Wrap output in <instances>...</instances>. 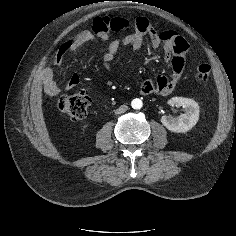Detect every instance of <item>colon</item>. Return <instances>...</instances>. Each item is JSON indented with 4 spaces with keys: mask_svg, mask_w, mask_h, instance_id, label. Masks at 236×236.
Returning <instances> with one entry per match:
<instances>
[{
    "mask_svg": "<svg viewBox=\"0 0 236 236\" xmlns=\"http://www.w3.org/2000/svg\"><path fill=\"white\" fill-rule=\"evenodd\" d=\"M141 18H138L139 20ZM136 20V21H137ZM106 24V26H104ZM103 26L110 31L125 30L129 26V21L125 18H113L109 22H105L104 18H96L93 21V27ZM211 68L208 64H200L196 68V78L201 82L208 80ZM91 100L85 91H79L72 95H63L58 100L59 110L71 120H81L88 112Z\"/></svg>",
    "mask_w": 236,
    "mask_h": 236,
    "instance_id": "5ec220e1",
    "label": "colon"
}]
</instances>
